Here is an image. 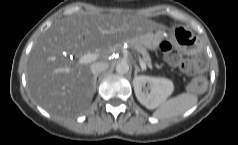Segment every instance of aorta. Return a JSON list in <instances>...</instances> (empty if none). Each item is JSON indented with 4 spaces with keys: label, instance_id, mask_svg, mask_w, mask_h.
<instances>
[{
    "label": "aorta",
    "instance_id": "aorta-1",
    "mask_svg": "<svg viewBox=\"0 0 238 145\" xmlns=\"http://www.w3.org/2000/svg\"><path fill=\"white\" fill-rule=\"evenodd\" d=\"M129 71V65L125 61H121L116 65V72L119 74H126Z\"/></svg>",
    "mask_w": 238,
    "mask_h": 145
}]
</instances>
